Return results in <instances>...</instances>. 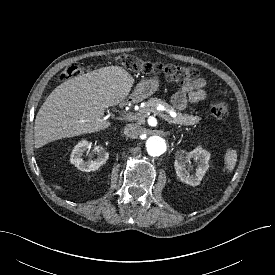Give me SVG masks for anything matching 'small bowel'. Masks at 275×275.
<instances>
[{
	"label": "small bowel",
	"mask_w": 275,
	"mask_h": 275,
	"mask_svg": "<svg viewBox=\"0 0 275 275\" xmlns=\"http://www.w3.org/2000/svg\"><path fill=\"white\" fill-rule=\"evenodd\" d=\"M205 80L197 79L185 84L173 96L172 102L175 108L183 110L188 102L198 103L206 98Z\"/></svg>",
	"instance_id": "obj_1"
}]
</instances>
